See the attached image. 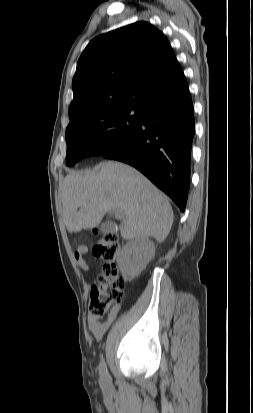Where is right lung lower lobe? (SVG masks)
Wrapping results in <instances>:
<instances>
[{
  "label": "right lung lower lobe",
  "instance_id": "1",
  "mask_svg": "<svg viewBox=\"0 0 253 413\" xmlns=\"http://www.w3.org/2000/svg\"><path fill=\"white\" fill-rule=\"evenodd\" d=\"M194 131V109L188 90L181 98L147 105L140 127L101 155L137 168L184 211Z\"/></svg>",
  "mask_w": 253,
  "mask_h": 413
}]
</instances>
